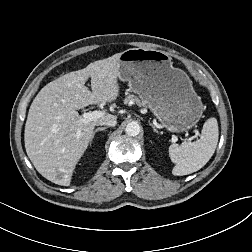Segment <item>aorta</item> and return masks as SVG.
Masks as SVG:
<instances>
[{
	"label": "aorta",
	"instance_id": "1",
	"mask_svg": "<svg viewBox=\"0 0 252 252\" xmlns=\"http://www.w3.org/2000/svg\"><path fill=\"white\" fill-rule=\"evenodd\" d=\"M125 132L128 136H137L140 133V125L137 122H130L125 128Z\"/></svg>",
	"mask_w": 252,
	"mask_h": 252
}]
</instances>
